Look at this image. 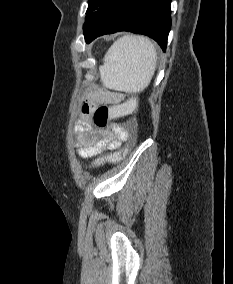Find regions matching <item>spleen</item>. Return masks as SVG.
I'll use <instances>...</instances> for the list:
<instances>
[{
  "label": "spleen",
  "mask_w": 233,
  "mask_h": 284,
  "mask_svg": "<svg viewBox=\"0 0 233 284\" xmlns=\"http://www.w3.org/2000/svg\"><path fill=\"white\" fill-rule=\"evenodd\" d=\"M157 65L154 44L142 36L126 35L113 43L99 67L103 85L115 91L138 93L150 83Z\"/></svg>",
  "instance_id": "3e777b00"
}]
</instances>
